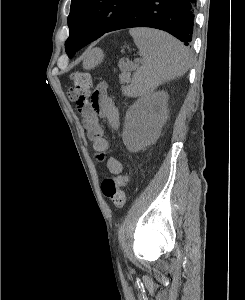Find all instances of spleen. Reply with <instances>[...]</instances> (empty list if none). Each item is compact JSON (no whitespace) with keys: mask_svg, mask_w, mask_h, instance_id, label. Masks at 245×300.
Masks as SVG:
<instances>
[{"mask_svg":"<svg viewBox=\"0 0 245 300\" xmlns=\"http://www.w3.org/2000/svg\"><path fill=\"white\" fill-rule=\"evenodd\" d=\"M131 36L143 58L124 94L129 97L150 96L163 82L181 77L190 66L189 53L171 35L148 28L131 29Z\"/></svg>","mask_w":245,"mask_h":300,"instance_id":"spleen-1","label":"spleen"}]
</instances>
